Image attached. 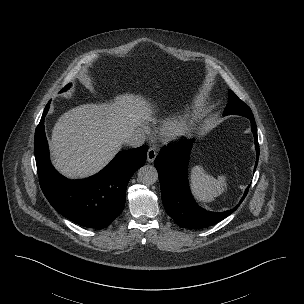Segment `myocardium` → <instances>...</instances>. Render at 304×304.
Segmentation results:
<instances>
[{"instance_id": "f54148a6", "label": "myocardium", "mask_w": 304, "mask_h": 304, "mask_svg": "<svg viewBox=\"0 0 304 304\" xmlns=\"http://www.w3.org/2000/svg\"><path fill=\"white\" fill-rule=\"evenodd\" d=\"M193 124L190 116L180 117L167 122L162 130L161 136L166 141H175L188 133Z\"/></svg>"}]
</instances>
